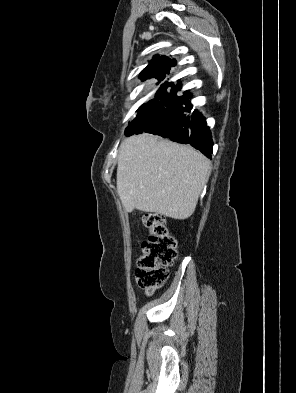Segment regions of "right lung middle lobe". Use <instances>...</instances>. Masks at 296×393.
<instances>
[{"mask_svg":"<svg viewBox=\"0 0 296 393\" xmlns=\"http://www.w3.org/2000/svg\"><path fill=\"white\" fill-rule=\"evenodd\" d=\"M158 81H161V80H158ZM145 106H146V104H143V105L141 106V109L138 110V113H139Z\"/></svg>","mask_w":296,"mask_h":393,"instance_id":"obj_1","label":"right lung middle lobe"}]
</instances>
